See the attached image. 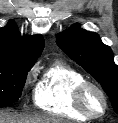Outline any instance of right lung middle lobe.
<instances>
[{
  "label": "right lung middle lobe",
  "mask_w": 118,
  "mask_h": 123,
  "mask_svg": "<svg viewBox=\"0 0 118 123\" xmlns=\"http://www.w3.org/2000/svg\"><path fill=\"white\" fill-rule=\"evenodd\" d=\"M30 67L0 60V105L16 102L22 93Z\"/></svg>",
  "instance_id": "right-lung-middle-lobe-1"
}]
</instances>
